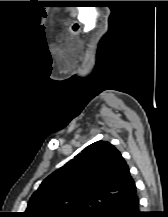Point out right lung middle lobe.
Here are the masks:
<instances>
[{
    "mask_svg": "<svg viewBox=\"0 0 168 217\" xmlns=\"http://www.w3.org/2000/svg\"><path fill=\"white\" fill-rule=\"evenodd\" d=\"M73 217H90V215H79V216H73Z\"/></svg>",
    "mask_w": 168,
    "mask_h": 217,
    "instance_id": "right-lung-middle-lobe-1",
    "label": "right lung middle lobe"
}]
</instances>
